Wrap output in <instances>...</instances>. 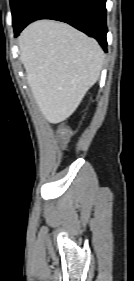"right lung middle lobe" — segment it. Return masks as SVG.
<instances>
[{"mask_svg": "<svg viewBox=\"0 0 134 281\" xmlns=\"http://www.w3.org/2000/svg\"><path fill=\"white\" fill-rule=\"evenodd\" d=\"M30 1L31 0H10L14 30L21 24Z\"/></svg>", "mask_w": 134, "mask_h": 281, "instance_id": "right-lung-middle-lobe-1", "label": "right lung middle lobe"}]
</instances>
